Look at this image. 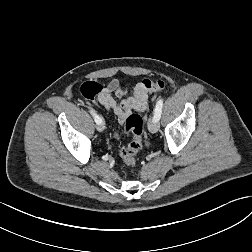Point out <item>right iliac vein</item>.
Returning a JSON list of instances; mask_svg holds the SVG:
<instances>
[{"label": "right iliac vein", "instance_id": "63e3f726", "mask_svg": "<svg viewBox=\"0 0 252 252\" xmlns=\"http://www.w3.org/2000/svg\"><path fill=\"white\" fill-rule=\"evenodd\" d=\"M96 128L99 132H102L105 129L104 122L102 121L101 123L97 124Z\"/></svg>", "mask_w": 252, "mask_h": 252}]
</instances>
